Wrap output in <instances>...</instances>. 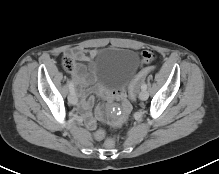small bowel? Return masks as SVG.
I'll return each mask as SVG.
<instances>
[{"mask_svg": "<svg viewBox=\"0 0 219 174\" xmlns=\"http://www.w3.org/2000/svg\"><path fill=\"white\" fill-rule=\"evenodd\" d=\"M99 53L100 51L97 49L84 50L82 48H72L67 52V55L74 61L73 77L75 83L79 87V96L81 97L80 109L86 115V124L90 129H94L96 124L95 119L89 117L94 99L93 97H89L85 100V97L89 93V91L85 88L92 82V75L82 62H89L93 60ZM143 59L147 63H152L156 59V54L152 50H147L143 54ZM100 93L102 94L103 101L117 99L121 102V108L123 109L122 116H113L112 122L123 123L124 117L127 115L129 108L131 107V102L128 99L127 85L121 84L120 86H117L112 93H103L101 91ZM102 115L103 108L100 107L97 110V117L100 118Z\"/></svg>", "mask_w": 219, "mask_h": 174, "instance_id": "small-bowel-1", "label": "small bowel"}]
</instances>
